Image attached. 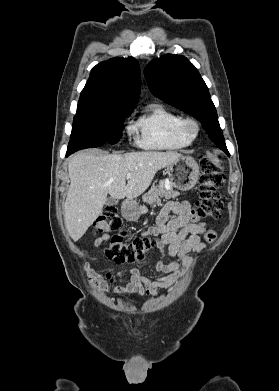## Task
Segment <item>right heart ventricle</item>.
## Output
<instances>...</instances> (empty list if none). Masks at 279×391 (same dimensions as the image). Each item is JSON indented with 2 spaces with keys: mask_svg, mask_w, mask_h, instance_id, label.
Listing matches in <instances>:
<instances>
[{
  "mask_svg": "<svg viewBox=\"0 0 279 391\" xmlns=\"http://www.w3.org/2000/svg\"><path fill=\"white\" fill-rule=\"evenodd\" d=\"M182 116L161 104H151L132 126L137 144L147 150H180L191 142L179 133Z\"/></svg>",
  "mask_w": 279,
  "mask_h": 391,
  "instance_id": "e07e8e85",
  "label": "right heart ventricle"
}]
</instances>
